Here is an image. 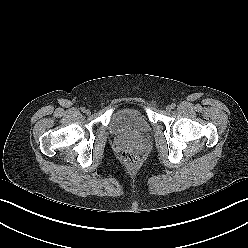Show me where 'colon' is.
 Masks as SVG:
<instances>
[{"label":"colon","instance_id":"obj_1","mask_svg":"<svg viewBox=\"0 0 248 248\" xmlns=\"http://www.w3.org/2000/svg\"><path fill=\"white\" fill-rule=\"evenodd\" d=\"M122 161L129 169H135L139 164L138 155L132 150H125L121 155Z\"/></svg>","mask_w":248,"mask_h":248}]
</instances>
